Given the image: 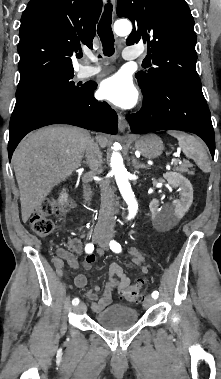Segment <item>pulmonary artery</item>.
<instances>
[{"label":"pulmonary artery","mask_w":221,"mask_h":379,"mask_svg":"<svg viewBox=\"0 0 221 379\" xmlns=\"http://www.w3.org/2000/svg\"><path fill=\"white\" fill-rule=\"evenodd\" d=\"M141 55L140 51L133 48H126L123 51V57L126 60H134L139 58ZM88 59L95 63L96 65L83 66L78 71V75L82 78L90 77L98 74L101 71V67L97 65V59L93 55H88Z\"/></svg>","instance_id":"e3ab8cb5"}]
</instances>
